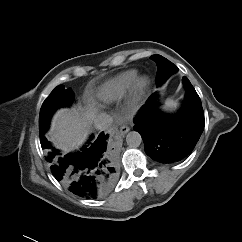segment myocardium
<instances>
[{"instance_id": "f54148a6", "label": "myocardium", "mask_w": 242, "mask_h": 242, "mask_svg": "<svg viewBox=\"0 0 242 242\" xmlns=\"http://www.w3.org/2000/svg\"><path fill=\"white\" fill-rule=\"evenodd\" d=\"M149 80L146 76H139L135 79L131 87V96L129 100V106L132 109L139 107L140 102L145 94Z\"/></svg>"}]
</instances>
